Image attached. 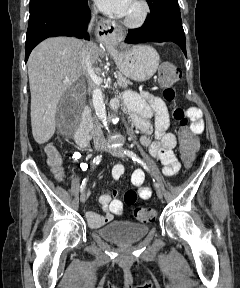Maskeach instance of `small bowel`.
Wrapping results in <instances>:
<instances>
[{"label":"small bowel","instance_id":"small-bowel-1","mask_svg":"<svg viewBox=\"0 0 240 288\" xmlns=\"http://www.w3.org/2000/svg\"><path fill=\"white\" fill-rule=\"evenodd\" d=\"M122 102L130 113L133 124L142 133L141 144L148 147L150 154L162 164L166 176L176 174L180 169V163L173 152L176 136L169 130L170 118L165 102L146 91L136 93L130 90L124 93ZM185 115L190 120V130L195 135L201 134L204 130L202 112L198 108L190 107L185 111ZM81 155L80 152L75 154L76 157ZM124 170L122 164H116L112 169V177L118 180L124 174ZM144 181L142 170L137 169L132 173L131 182L138 188L139 197L147 200L151 196V189L144 185ZM113 196L111 198L109 195H102L100 198L104 215L96 212L86 214L91 227H100L111 221L115 214L122 213L123 204L118 197V192L114 191Z\"/></svg>","mask_w":240,"mask_h":288}]
</instances>
